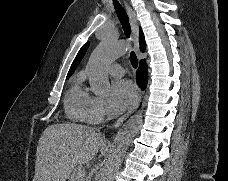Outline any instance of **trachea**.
I'll return each instance as SVG.
<instances>
[{
    "instance_id": "trachea-1",
    "label": "trachea",
    "mask_w": 228,
    "mask_h": 181,
    "mask_svg": "<svg viewBox=\"0 0 228 181\" xmlns=\"http://www.w3.org/2000/svg\"><path fill=\"white\" fill-rule=\"evenodd\" d=\"M113 5L115 7L117 17L122 25L126 38H130L131 27H130L129 18H128L127 13L125 12L124 8L121 6V4L117 0H113ZM130 62L134 68H137L138 59H137L136 54L133 51L130 52Z\"/></svg>"
}]
</instances>
